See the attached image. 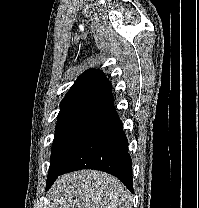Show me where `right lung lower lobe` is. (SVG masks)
Wrapping results in <instances>:
<instances>
[{
  "instance_id": "98d812e1",
  "label": "right lung lower lobe",
  "mask_w": 199,
  "mask_h": 208,
  "mask_svg": "<svg viewBox=\"0 0 199 208\" xmlns=\"http://www.w3.org/2000/svg\"><path fill=\"white\" fill-rule=\"evenodd\" d=\"M80 169H95L112 174L133 193L128 141L113 102L100 109L71 158L56 175L47 180L46 189L51 187L59 175Z\"/></svg>"
}]
</instances>
